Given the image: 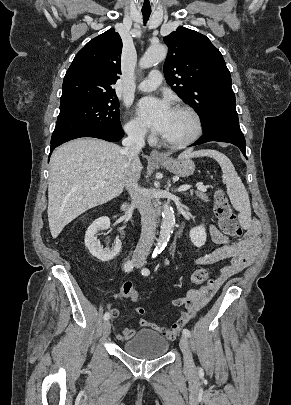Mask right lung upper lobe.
Instances as JSON below:
<instances>
[{
	"label": "right lung upper lobe",
	"instance_id": "1",
	"mask_svg": "<svg viewBox=\"0 0 291 405\" xmlns=\"http://www.w3.org/2000/svg\"><path fill=\"white\" fill-rule=\"evenodd\" d=\"M122 40L114 29L88 42L75 56L62 86L61 101L116 95Z\"/></svg>",
	"mask_w": 291,
	"mask_h": 405
}]
</instances>
